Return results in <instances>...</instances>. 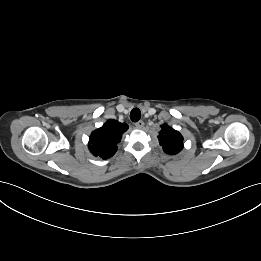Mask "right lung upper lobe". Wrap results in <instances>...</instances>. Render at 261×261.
<instances>
[{"instance_id":"1","label":"right lung upper lobe","mask_w":261,"mask_h":261,"mask_svg":"<svg viewBox=\"0 0 261 261\" xmlns=\"http://www.w3.org/2000/svg\"><path fill=\"white\" fill-rule=\"evenodd\" d=\"M128 125L117 120L109 119L101 128L92 132L89 139V150L94 156L102 159L112 157L117 151V144Z\"/></svg>"}]
</instances>
